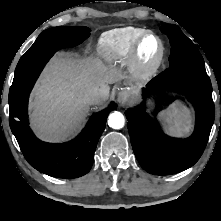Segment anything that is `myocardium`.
<instances>
[{"label":"myocardium","instance_id":"1","mask_svg":"<svg viewBox=\"0 0 221 221\" xmlns=\"http://www.w3.org/2000/svg\"><path fill=\"white\" fill-rule=\"evenodd\" d=\"M149 37H153L157 40L159 44L158 54L155 59L151 62H147L142 57V46L145 40ZM165 56V45L162 38L152 31H146L144 34L140 36L137 40L132 54H131V64L132 69L137 77L140 79H149L151 78L160 68L162 65L163 59Z\"/></svg>","mask_w":221,"mask_h":221}]
</instances>
